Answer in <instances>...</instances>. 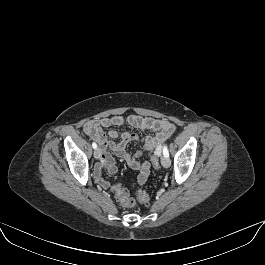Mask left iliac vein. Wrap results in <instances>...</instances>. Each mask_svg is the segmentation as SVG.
I'll use <instances>...</instances> for the list:
<instances>
[{
  "instance_id": "1",
  "label": "left iliac vein",
  "mask_w": 265,
  "mask_h": 265,
  "mask_svg": "<svg viewBox=\"0 0 265 265\" xmlns=\"http://www.w3.org/2000/svg\"><path fill=\"white\" fill-rule=\"evenodd\" d=\"M161 164L163 167L168 168L170 166V160L166 156H162L161 158Z\"/></svg>"
}]
</instances>
